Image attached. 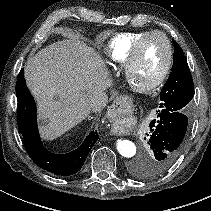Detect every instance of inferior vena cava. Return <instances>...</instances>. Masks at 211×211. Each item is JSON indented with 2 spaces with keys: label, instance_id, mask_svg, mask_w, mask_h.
Wrapping results in <instances>:
<instances>
[{
  "label": "inferior vena cava",
  "instance_id": "obj_1",
  "mask_svg": "<svg viewBox=\"0 0 211 211\" xmlns=\"http://www.w3.org/2000/svg\"><path fill=\"white\" fill-rule=\"evenodd\" d=\"M104 88H106V83L99 84V90L96 92V95L92 98L91 106L95 107L97 105V102L101 99V96L103 95Z\"/></svg>",
  "mask_w": 211,
  "mask_h": 211
}]
</instances>
